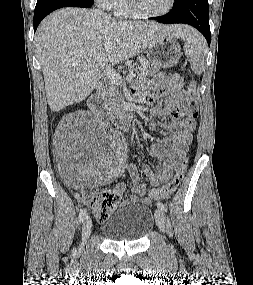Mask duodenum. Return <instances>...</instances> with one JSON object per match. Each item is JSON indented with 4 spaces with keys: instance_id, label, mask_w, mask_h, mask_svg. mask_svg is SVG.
Instances as JSON below:
<instances>
[{
    "instance_id": "obj_1",
    "label": "duodenum",
    "mask_w": 253,
    "mask_h": 285,
    "mask_svg": "<svg viewBox=\"0 0 253 285\" xmlns=\"http://www.w3.org/2000/svg\"><path fill=\"white\" fill-rule=\"evenodd\" d=\"M88 107L97 113L104 110V103L100 92H95L88 99ZM111 120L120 128L128 129L133 123V113L130 105H123L122 107L109 112Z\"/></svg>"
}]
</instances>
